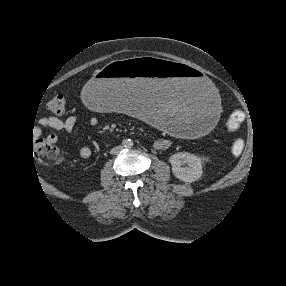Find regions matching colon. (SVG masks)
<instances>
[{
  "mask_svg": "<svg viewBox=\"0 0 286 286\" xmlns=\"http://www.w3.org/2000/svg\"><path fill=\"white\" fill-rule=\"evenodd\" d=\"M66 98L63 95H56L47 103V109L55 114L61 115L65 112ZM245 120V113L241 110H235L231 113L227 122V131L236 133ZM244 143L238 139L232 144V153L238 155L242 152ZM34 150L36 157L43 164H50L60 159V153L52 141L40 138L35 141Z\"/></svg>",
  "mask_w": 286,
  "mask_h": 286,
  "instance_id": "5ec220e1",
  "label": "colon"
}]
</instances>
